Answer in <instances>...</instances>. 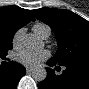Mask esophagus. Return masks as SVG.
Segmentation results:
<instances>
[{
  "mask_svg": "<svg viewBox=\"0 0 89 89\" xmlns=\"http://www.w3.org/2000/svg\"><path fill=\"white\" fill-rule=\"evenodd\" d=\"M26 71H27L28 73H31V72L33 71V68H31V67H26Z\"/></svg>",
  "mask_w": 89,
  "mask_h": 89,
  "instance_id": "1",
  "label": "esophagus"
}]
</instances>
